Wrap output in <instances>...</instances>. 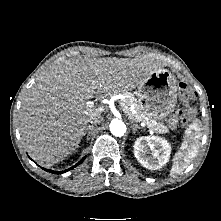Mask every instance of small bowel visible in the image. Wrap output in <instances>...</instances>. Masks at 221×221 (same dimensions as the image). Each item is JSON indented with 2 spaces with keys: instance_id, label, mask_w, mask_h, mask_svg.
<instances>
[{
  "instance_id": "1",
  "label": "small bowel",
  "mask_w": 221,
  "mask_h": 221,
  "mask_svg": "<svg viewBox=\"0 0 221 221\" xmlns=\"http://www.w3.org/2000/svg\"><path fill=\"white\" fill-rule=\"evenodd\" d=\"M176 120H177V117L175 115L171 117L170 122H169L170 127L173 128L176 125Z\"/></svg>"
}]
</instances>
